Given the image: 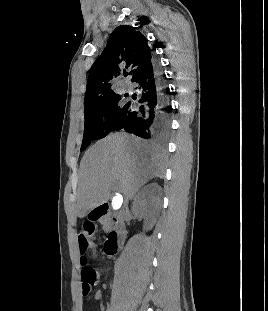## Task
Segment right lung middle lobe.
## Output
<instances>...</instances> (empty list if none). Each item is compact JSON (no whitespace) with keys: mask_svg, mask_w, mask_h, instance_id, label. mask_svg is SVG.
Listing matches in <instances>:
<instances>
[{"mask_svg":"<svg viewBox=\"0 0 268 311\" xmlns=\"http://www.w3.org/2000/svg\"><path fill=\"white\" fill-rule=\"evenodd\" d=\"M125 103L119 94H112L85 112L84 135L81 145L83 151L91 141L97 139L98 132L102 131V117H107L105 127L107 131L99 135V138L105 137L114 127Z\"/></svg>","mask_w":268,"mask_h":311,"instance_id":"right-lung-middle-lobe-1","label":"right lung middle lobe"}]
</instances>
